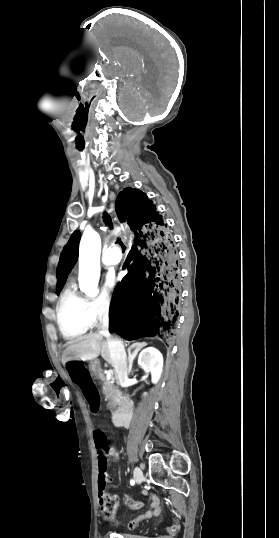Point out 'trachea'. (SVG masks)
<instances>
[{
	"label": "trachea",
	"mask_w": 279,
	"mask_h": 538,
	"mask_svg": "<svg viewBox=\"0 0 279 538\" xmlns=\"http://www.w3.org/2000/svg\"><path fill=\"white\" fill-rule=\"evenodd\" d=\"M103 221L105 223V225L109 226L110 228L113 226L112 224V219L110 217V215H108L107 212H104L103 213ZM116 243L120 244L122 247H124L122 241L120 238L117 239Z\"/></svg>",
	"instance_id": "1"
}]
</instances>
